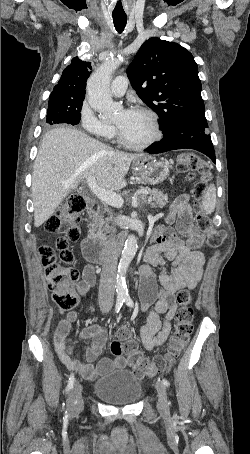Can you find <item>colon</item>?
Returning a JSON list of instances; mask_svg holds the SVG:
<instances>
[{
  "instance_id": "1",
  "label": "colon",
  "mask_w": 250,
  "mask_h": 454,
  "mask_svg": "<svg viewBox=\"0 0 250 454\" xmlns=\"http://www.w3.org/2000/svg\"><path fill=\"white\" fill-rule=\"evenodd\" d=\"M178 167L189 177L200 176V181L193 188L195 199L196 222L205 232L208 244L218 247L225 238L222 230L212 227L209 218L204 214L200 200L206 191V182L211 177V169L207 162L192 152H185L178 157ZM86 201L78 194L71 195L66 203L49 219L46 230L59 234L54 245L44 243L39 247V256L44 267L47 286L52 293L54 303L62 310H71L79 302L74 290L78 279V271L73 267L74 255L69 249V243L79 236L80 213L85 209ZM192 296L188 290L177 293L179 309L176 313V323L165 355L156 360L145 358L130 340V331L122 326L118 331L120 340L110 345L111 353L115 356L126 355L129 366L137 376L152 377L157 375L167 365L171 364L183 352L192 333L193 310L190 307Z\"/></svg>"
}]
</instances>
